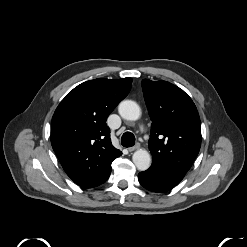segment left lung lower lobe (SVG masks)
I'll list each match as a JSON object with an SVG mask.
<instances>
[{
    "mask_svg": "<svg viewBox=\"0 0 247 247\" xmlns=\"http://www.w3.org/2000/svg\"><path fill=\"white\" fill-rule=\"evenodd\" d=\"M138 180L144 188L159 193L172 190L173 187L178 184L167 176L152 169L140 172L138 174Z\"/></svg>",
    "mask_w": 247,
    "mask_h": 247,
    "instance_id": "left-lung-lower-lobe-1",
    "label": "left lung lower lobe"
}]
</instances>
